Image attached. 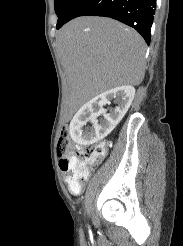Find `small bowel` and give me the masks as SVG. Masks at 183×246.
<instances>
[{"label":"small bowel","instance_id":"obj_1","mask_svg":"<svg viewBox=\"0 0 183 246\" xmlns=\"http://www.w3.org/2000/svg\"><path fill=\"white\" fill-rule=\"evenodd\" d=\"M65 179H66V182L68 183L69 188H70V179H69V177H68L67 175H66ZM70 190H71V189H70ZM71 191H72V190H71ZM80 191H81V190H79V191H72V192L75 193V194H78Z\"/></svg>","mask_w":183,"mask_h":246}]
</instances>
